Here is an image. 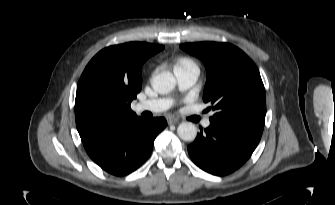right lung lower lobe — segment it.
<instances>
[{
	"mask_svg": "<svg viewBox=\"0 0 335 205\" xmlns=\"http://www.w3.org/2000/svg\"><path fill=\"white\" fill-rule=\"evenodd\" d=\"M166 124L163 117L149 120L138 118L107 137L83 144L90 158L102 169L123 176L147 160L156 136Z\"/></svg>",
	"mask_w": 335,
	"mask_h": 205,
	"instance_id": "obj_1",
	"label": "right lung lower lobe"
}]
</instances>
